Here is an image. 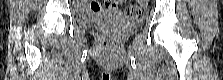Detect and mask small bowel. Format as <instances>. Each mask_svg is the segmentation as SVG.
I'll use <instances>...</instances> for the list:
<instances>
[{"instance_id":"c3829d8e","label":"small bowel","mask_w":223,"mask_h":80,"mask_svg":"<svg viewBox=\"0 0 223 80\" xmlns=\"http://www.w3.org/2000/svg\"><path fill=\"white\" fill-rule=\"evenodd\" d=\"M118 1H106V2H94L91 4L90 8H87L86 6L82 5L81 9L85 11L90 12H102V11H118L119 6Z\"/></svg>"}]
</instances>
